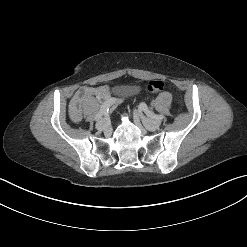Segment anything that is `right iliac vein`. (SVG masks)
I'll use <instances>...</instances> for the list:
<instances>
[{
	"label": "right iliac vein",
	"mask_w": 247,
	"mask_h": 247,
	"mask_svg": "<svg viewBox=\"0 0 247 247\" xmlns=\"http://www.w3.org/2000/svg\"><path fill=\"white\" fill-rule=\"evenodd\" d=\"M96 128L99 131H108L109 130V123L107 119H102L96 124Z\"/></svg>",
	"instance_id": "63e3f726"
}]
</instances>
